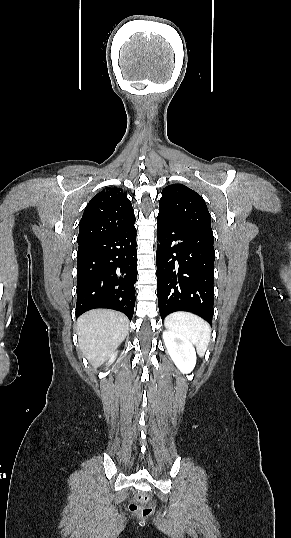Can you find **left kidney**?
I'll list each match as a JSON object with an SVG mask.
<instances>
[{
  "label": "left kidney",
  "mask_w": 291,
  "mask_h": 538,
  "mask_svg": "<svg viewBox=\"0 0 291 538\" xmlns=\"http://www.w3.org/2000/svg\"><path fill=\"white\" fill-rule=\"evenodd\" d=\"M163 340L167 352L182 373H190L196 365V351L192 343L183 335L165 331Z\"/></svg>",
  "instance_id": "1"
}]
</instances>
